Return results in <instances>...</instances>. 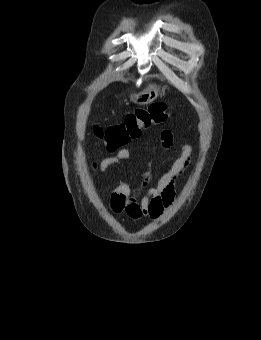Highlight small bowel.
<instances>
[{"label": "small bowel", "mask_w": 261, "mask_h": 340, "mask_svg": "<svg viewBox=\"0 0 261 340\" xmlns=\"http://www.w3.org/2000/svg\"><path fill=\"white\" fill-rule=\"evenodd\" d=\"M163 149L168 150L173 146V134L163 130L160 135ZM115 151V150H114ZM192 157V147L188 143L182 145L180 156L172 163L157 181L155 186H149V173L145 172L144 178L138 187L128 184H119L110 195V208L116 215H125L132 220L150 218L156 220L163 210L173 201L178 178L188 168ZM131 158L129 149L122 148L114 155L94 161V173L103 174L109 167L122 165Z\"/></svg>", "instance_id": "obj_1"}]
</instances>
